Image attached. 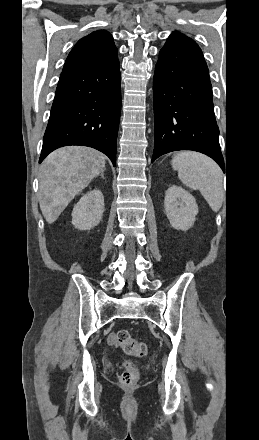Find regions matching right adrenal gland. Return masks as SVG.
Wrapping results in <instances>:
<instances>
[{"instance_id": "1", "label": "right adrenal gland", "mask_w": 259, "mask_h": 440, "mask_svg": "<svg viewBox=\"0 0 259 440\" xmlns=\"http://www.w3.org/2000/svg\"><path fill=\"white\" fill-rule=\"evenodd\" d=\"M101 177L104 178V173L103 172L101 173Z\"/></svg>"}]
</instances>
